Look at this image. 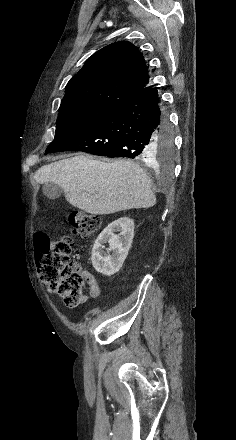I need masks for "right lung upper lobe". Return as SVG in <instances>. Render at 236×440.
I'll return each instance as SVG.
<instances>
[{
    "mask_svg": "<svg viewBox=\"0 0 236 440\" xmlns=\"http://www.w3.org/2000/svg\"><path fill=\"white\" fill-rule=\"evenodd\" d=\"M150 87L142 53L132 43L119 41L87 59L67 83L61 104L89 101L118 106Z\"/></svg>",
    "mask_w": 236,
    "mask_h": 440,
    "instance_id": "1",
    "label": "right lung upper lobe"
}]
</instances>
